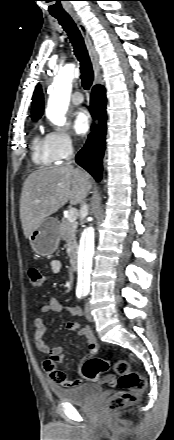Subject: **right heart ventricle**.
I'll return each mask as SVG.
<instances>
[{"instance_id":"e07e8e85","label":"right heart ventricle","mask_w":174,"mask_h":440,"mask_svg":"<svg viewBox=\"0 0 174 440\" xmlns=\"http://www.w3.org/2000/svg\"><path fill=\"white\" fill-rule=\"evenodd\" d=\"M32 160L40 166H50L57 161L54 159L46 137L36 135L32 141Z\"/></svg>"}]
</instances>
